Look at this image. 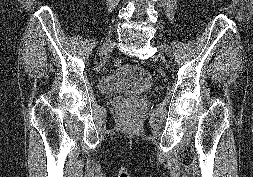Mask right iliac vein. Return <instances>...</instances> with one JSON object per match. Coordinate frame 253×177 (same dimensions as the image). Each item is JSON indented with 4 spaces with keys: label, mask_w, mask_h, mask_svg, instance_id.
<instances>
[{
    "label": "right iliac vein",
    "mask_w": 253,
    "mask_h": 177,
    "mask_svg": "<svg viewBox=\"0 0 253 177\" xmlns=\"http://www.w3.org/2000/svg\"><path fill=\"white\" fill-rule=\"evenodd\" d=\"M113 47H114V42H113V41H110V42L106 43V44L102 47V51L105 52V51L111 50Z\"/></svg>",
    "instance_id": "obj_1"
}]
</instances>
